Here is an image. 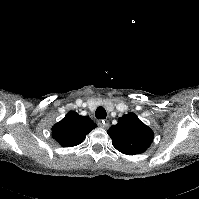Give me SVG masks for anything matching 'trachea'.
Segmentation results:
<instances>
[{"instance_id": "trachea-1", "label": "trachea", "mask_w": 199, "mask_h": 199, "mask_svg": "<svg viewBox=\"0 0 199 199\" xmlns=\"http://www.w3.org/2000/svg\"><path fill=\"white\" fill-rule=\"evenodd\" d=\"M106 115V110L102 106H99L96 109L95 116L97 119H105Z\"/></svg>"}]
</instances>
